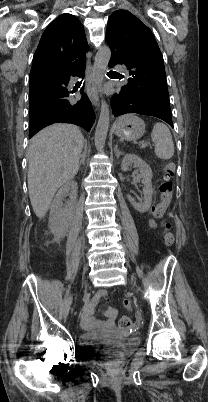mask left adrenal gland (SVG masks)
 Returning a JSON list of instances; mask_svg holds the SVG:
<instances>
[{"instance_id":"1","label":"left adrenal gland","mask_w":208,"mask_h":402,"mask_svg":"<svg viewBox=\"0 0 208 402\" xmlns=\"http://www.w3.org/2000/svg\"><path fill=\"white\" fill-rule=\"evenodd\" d=\"M114 152H115V156H117V160H118L119 156H121V154H122V152H119L118 146H115Z\"/></svg>"}]
</instances>
